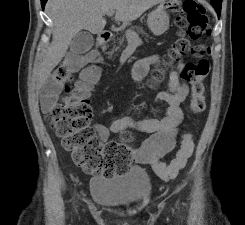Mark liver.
<instances>
[{
  "mask_svg": "<svg viewBox=\"0 0 245 225\" xmlns=\"http://www.w3.org/2000/svg\"><path fill=\"white\" fill-rule=\"evenodd\" d=\"M165 0H48L46 11L53 22L52 42L46 50L38 71L42 85L59 64L73 37L82 29L100 34L106 25L103 16L116 11L115 20L130 22Z\"/></svg>",
  "mask_w": 245,
  "mask_h": 225,
  "instance_id": "6515ba94",
  "label": "liver"
}]
</instances>
